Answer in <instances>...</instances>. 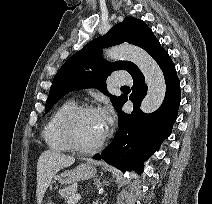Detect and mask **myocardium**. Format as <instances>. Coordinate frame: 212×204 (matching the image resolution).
<instances>
[{
    "label": "myocardium",
    "instance_id": "f54148a6",
    "mask_svg": "<svg viewBox=\"0 0 212 204\" xmlns=\"http://www.w3.org/2000/svg\"><path fill=\"white\" fill-rule=\"evenodd\" d=\"M87 112H100V110L92 105H76L68 110L60 121V133L64 142L70 150L79 153H91L96 151L103 145L108 136V129H106L103 136L92 145L82 146L76 141L73 133V122L79 115Z\"/></svg>",
    "mask_w": 212,
    "mask_h": 204
}]
</instances>
